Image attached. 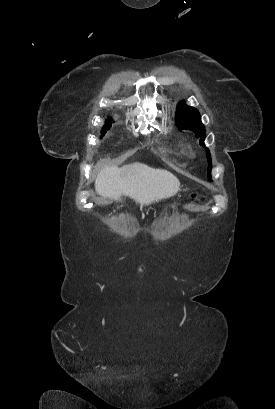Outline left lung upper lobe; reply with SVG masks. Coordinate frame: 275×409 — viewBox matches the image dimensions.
Instances as JSON below:
<instances>
[{
  "mask_svg": "<svg viewBox=\"0 0 275 409\" xmlns=\"http://www.w3.org/2000/svg\"><path fill=\"white\" fill-rule=\"evenodd\" d=\"M176 124L178 127L182 129L192 130L197 135V137H201L199 144L205 147L204 145V139L206 135L205 128L201 123L200 114L197 109L187 106L184 101L179 103L176 113ZM206 156L209 163L208 177L210 179L211 156L208 149Z\"/></svg>",
  "mask_w": 275,
  "mask_h": 409,
  "instance_id": "left-lung-upper-lobe-1",
  "label": "left lung upper lobe"
}]
</instances>
